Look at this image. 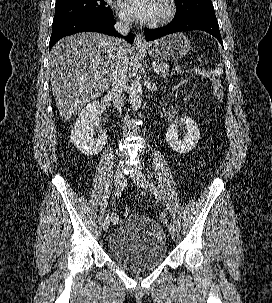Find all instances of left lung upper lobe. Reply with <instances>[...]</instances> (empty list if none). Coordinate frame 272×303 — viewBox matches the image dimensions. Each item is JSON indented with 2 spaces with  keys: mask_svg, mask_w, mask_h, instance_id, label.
Returning a JSON list of instances; mask_svg holds the SVG:
<instances>
[{
  "mask_svg": "<svg viewBox=\"0 0 272 303\" xmlns=\"http://www.w3.org/2000/svg\"><path fill=\"white\" fill-rule=\"evenodd\" d=\"M178 7L174 19L215 16L211 0H175Z\"/></svg>",
  "mask_w": 272,
  "mask_h": 303,
  "instance_id": "1",
  "label": "left lung upper lobe"
}]
</instances>
